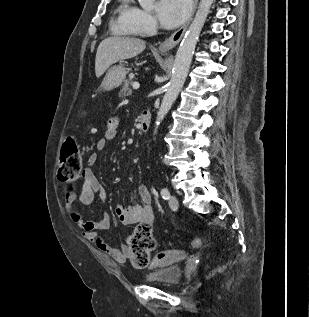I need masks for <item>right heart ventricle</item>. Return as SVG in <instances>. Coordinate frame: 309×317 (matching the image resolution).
Returning <instances> with one entry per match:
<instances>
[{"mask_svg": "<svg viewBox=\"0 0 309 317\" xmlns=\"http://www.w3.org/2000/svg\"><path fill=\"white\" fill-rule=\"evenodd\" d=\"M130 0H120V5L117 9L115 26L123 35L136 36L139 34L138 28L134 24V15L136 12Z\"/></svg>", "mask_w": 309, "mask_h": 317, "instance_id": "1", "label": "right heart ventricle"}]
</instances>
